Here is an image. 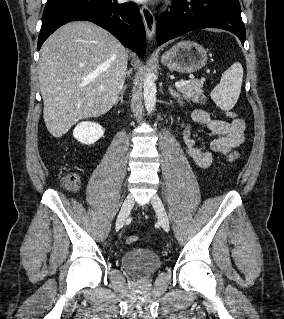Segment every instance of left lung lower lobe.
Segmentation results:
<instances>
[{
  "label": "left lung lower lobe",
  "instance_id": "0a47b994",
  "mask_svg": "<svg viewBox=\"0 0 284 319\" xmlns=\"http://www.w3.org/2000/svg\"><path fill=\"white\" fill-rule=\"evenodd\" d=\"M234 33L244 45L246 30L238 0H176L170 11L160 15L156 40L161 45L184 33L202 28Z\"/></svg>",
  "mask_w": 284,
  "mask_h": 319
}]
</instances>
